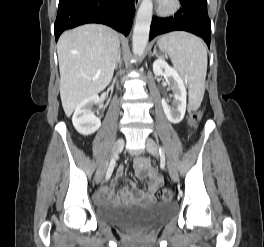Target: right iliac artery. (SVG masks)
<instances>
[{"instance_id":"obj_1","label":"right iliac artery","mask_w":264,"mask_h":247,"mask_svg":"<svg viewBox=\"0 0 264 247\" xmlns=\"http://www.w3.org/2000/svg\"><path fill=\"white\" fill-rule=\"evenodd\" d=\"M114 167H115V157L112 158V160L110 161V164H109V167H108V170H107V173H106V180H109L112 173H113V170H114Z\"/></svg>"}]
</instances>
